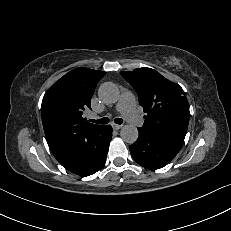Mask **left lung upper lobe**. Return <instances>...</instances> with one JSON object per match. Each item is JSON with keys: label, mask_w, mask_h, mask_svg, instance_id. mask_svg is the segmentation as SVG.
<instances>
[{"label": "left lung upper lobe", "mask_w": 231, "mask_h": 231, "mask_svg": "<svg viewBox=\"0 0 231 231\" xmlns=\"http://www.w3.org/2000/svg\"><path fill=\"white\" fill-rule=\"evenodd\" d=\"M120 74L133 86L147 113L142 129L184 141L190 112L183 89L146 67Z\"/></svg>", "instance_id": "left-lung-upper-lobe-1"}]
</instances>
